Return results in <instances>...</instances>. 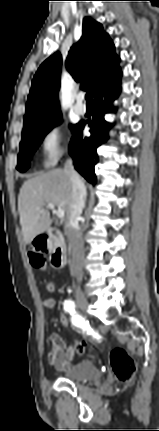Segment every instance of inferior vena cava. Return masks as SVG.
Masks as SVG:
<instances>
[{
    "label": "inferior vena cava",
    "mask_w": 159,
    "mask_h": 431,
    "mask_svg": "<svg viewBox=\"0 0 159 431\" xmlns=\"http://www.w3.org/2000/svg\"><path fill=\"white\" fill-rule=\"evenodd\" d=\"M64 171L70 176L72 182V198L71 212L69 218L65 222V234L69 241L71 249L73 264L71 267L72 273L76 276L77 281L80 282L83 277L82 267L80 261L83 257V241L79 231V218L82 214L86 199V188L79 176L74 170L72 160L68 159L64 164ZM79 290V288H78Z\"/></svg>",
    "instance_id": "602c4592"
}]
</instances>
